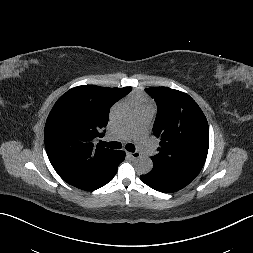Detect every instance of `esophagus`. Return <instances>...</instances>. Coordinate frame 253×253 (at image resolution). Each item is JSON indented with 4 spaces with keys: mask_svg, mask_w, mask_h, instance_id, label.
I'll list each match as a JSON object with an SVG mask.
<instances>
[{
    "mask_svg": "<svg viewBox=\"0 0 253 253\" xmlns=\"http://www.w3.org/2000/svg\"><path fill=\"white\" fill-rule=\"evenodd\" d=\"M127 155L133 159H136L140 156L139 152H132V153L128 152Z\"/></svg>",
    "mask_w": 253,
    "mask_h": 253,
    "instance_id": "1",
    "label": "esophagus"
}]
</instances>
